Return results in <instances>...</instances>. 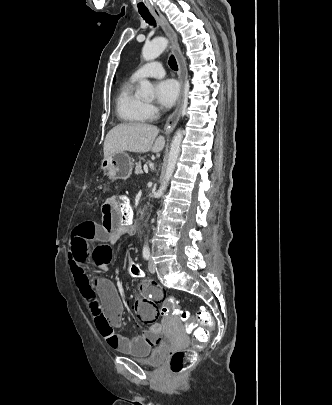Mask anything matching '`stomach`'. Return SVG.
<instances>
[{
	"label": "stomach",
	"mask_w": 332,
	"mask_h": 405,
	"mask_svg": "<svg viewBox=\"0 0 332 405\" xmlns=\"http://www.w3.org/2000/svg\"><path fill=\"white\" fill-rule=\"evenodd\" d=\"M132 167L131 157L123 151L104 158L101 163V168L112 179L128 178L131 175Z\"/></svg>",
	"instance_id": "1"
}]
</instances>
